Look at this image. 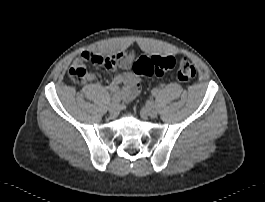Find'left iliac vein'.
Here are the masks:
<instances>
[{
  "label": "left iliac vein",
  "instance_id": "4c4485c4",
  "mask_svg": "<svg viewBox=\"0 0 265 202\" xmlns=\"http://www.w3.org/2000/svg\"><path fill=\"white\" fill-rule=\"evenodd\" d=\"M144 112L151 118H155L157 116V108L153 102H149L144 108Z\"/></svg>",
  "mask_w": 265,
  "mask_h": 202
}]
</instances>
